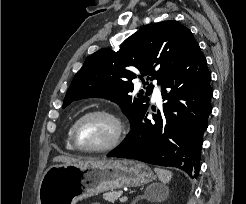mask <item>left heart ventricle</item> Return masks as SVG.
<instances>
[{
	"instance_id": "b2bd125f",
	"label": "left heart ventricle",
	"mask_w": 246,
	"mask_h": 204,
	"mask_svg": "<svg viewBox=\"0 0 246 204\" xmlns=\"http://www.w3.org/2000/svg\"><path fill=\"white\" fill-rule=\"evenodd\" d=\"M115 132L114 123L102 116H93L81 122L77 130V141L84 148H95L110 141Z\"/></svg>"
}]
</instances>
